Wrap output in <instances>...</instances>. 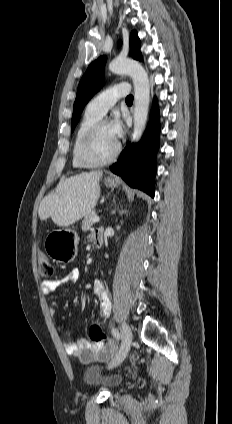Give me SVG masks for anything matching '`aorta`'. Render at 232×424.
<instances>
[{"label":"aorta","mask_w":232,"mask_h":424,"mask_svg":"<svg viewBox=\"0 0 232 424\" xmlns=\"http://www.w3.org/2000/svg\"><path fill=\"white\" fill-rule=\"evenodd\" d=\"M109 70L115 74H128L134 84V132L133 140L138 141L145 129L150 101V83L145 69L136 61L127 58H115L109 64Z\"/></svg>","instance_id":"1"}]
</instances>
